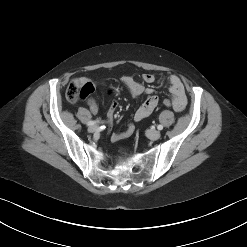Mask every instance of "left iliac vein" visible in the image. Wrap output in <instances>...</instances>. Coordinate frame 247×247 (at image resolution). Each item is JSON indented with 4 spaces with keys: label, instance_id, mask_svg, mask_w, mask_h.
Listing matches in <instances>:
<instances>
[{
    "label": "left iliac vein",
    "instance_id": "1",
    "mask_svg": "<svg viewBox=\"0 0 247 247\" xmlns=\"http://www.w3.org/2000/svg\"><path fill=\"white\" fill-rule=\"evenodd\" d=\"M147 136H148L150 139H152V140H157V139L160 138L161 133H160L159 131H157V130H149V131L147 132Z\"/></svg>",
    "mask_w": 247,
    "mask_h": 247
}]
</instances>
